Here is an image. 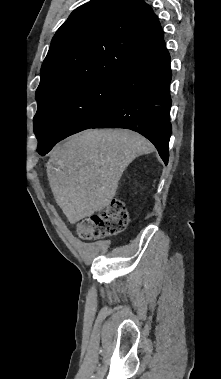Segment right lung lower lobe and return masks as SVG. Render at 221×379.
<instances>
[{
  "label": "right lung lower lobe",
  "instance_id": "1",
  "mask_svg": "<svg viewBox=\"0 0 221 379\" xmlns=\"http://www.w3.org/2000/svg\"><path fill=\"white\" fill-rule=\"evenodd\" d=\"M170 55L167 50L124 71L113 100L103 116L91 128H128L149 139L167 165L170 123ZM51 146L37 149L45 155Z\"/></svg>",
  "mask_w": 221,
  "mask_h": 379
}]
</instances>
